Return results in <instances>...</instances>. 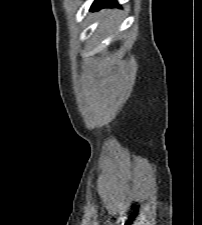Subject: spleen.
<instances>
[{
  "label": "spleen",
  "mask_w": 202,
  "mask_h": 225,
  "mask_svg": "<svg viewBox=\"0 0 202 225\" xmlns=\"http://www.w3.org/2000/svg\"><path fill=\"white\" fill-rule=\"evenodd\" d=\"M118 15L117 11H113L106 15V17L103 19L102 23L100 24V28H108V32L111 33L115 30L116 26H118L119 21H117L116 26H114V23L116 21V17Z\"/></svg>",
  "instance_id": "spleen-1"
}]
</instances>
